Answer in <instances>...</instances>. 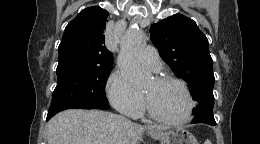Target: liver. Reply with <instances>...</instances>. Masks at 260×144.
<instances>
[{
  "instance_id": "1",
  "label": "liver",
  "mask_w": 260,
  "mask_h": 144,
  "mask_svg": "<svg viewBox=\"0 0 260 144\" xmlns=\"http://www.w3.org/2000/svg\"><path fill=\"white\" fill-rule=\"evenodd\" d=\"M149 129L163 131L162 126ZM146 126L112 113L80 109L55 115L47 125L48 144H138Z\"/></svg>"
}]
</instances>
